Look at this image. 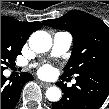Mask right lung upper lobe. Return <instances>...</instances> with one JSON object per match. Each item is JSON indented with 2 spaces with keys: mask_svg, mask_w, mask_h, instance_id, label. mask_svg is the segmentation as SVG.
Listing matches in <instances>:
<instances>
[{
  "mask_svg": "<svg viewBox=\"0 0 109 109\" xmlns=\"http://www.w3.org/2000/svg\"><path fill=\"white\" fill-rule=\"evenodd\" d=\"M40 28V22H21L8 16H1V34L22 44H25L31 33Z\"/></svg>",
  "mask_w": 109,
  "mask_h": 109,
  "instance_id": "1",
  "label": "right lung upper lobe"
}]
</instances>
